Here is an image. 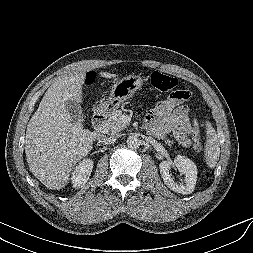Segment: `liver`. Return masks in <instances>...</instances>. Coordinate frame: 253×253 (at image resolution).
I'll use <instances>...</instances> for the list:
<instances>
[{"label":"liver","mask_w":253,"mask_h":253,"mask_svg":"<svg viewBox=\"0 0 253 253\" xmlns=\"http://www.w3.org/2000/svg\"><path fill=\"white\" fill-rule=\"evenodd\" d=\"M102 77L115 74L100 72ZM86 69L55 81L31 117L25 136V154L32 174L47 188L66 186L73 167L92 150L93 133L72 120L67 101L82 102Z\"/></svg>","instance_id":"1"}]
</instances>
